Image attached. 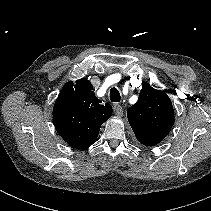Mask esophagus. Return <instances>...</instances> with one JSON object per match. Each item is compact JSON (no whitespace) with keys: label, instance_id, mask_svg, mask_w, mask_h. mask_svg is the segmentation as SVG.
<instances>
[{"label":"esophagus","instance_id":"34e87169","mask_svg":"<svg viewBox=\"0 0 211 211\" xmlns=\"http://www.w3.org/2000/svg\"><path fill=\"white\" fill-rule=\"evenodd\" d=\"M113 110H114V113H115L117 116H122V115H123V108H122L121 105H119V104H114Z\"/></svg>","mask_w":211,"mask_h":211}]
</instances>
